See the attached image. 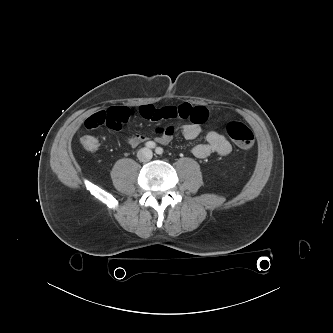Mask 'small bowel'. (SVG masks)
<instances>
[{"instance_id":"1","label":"small bowel","mask_w":333,"mask_h":333,"mask_svg":"<svg viewBox=\"0 0 333 333\" xmlns=\"http://www.w3.org/2000/svg\"><path fill=\"white\" fill-rule=\"evenodd\" d=\"M133 113L134 110L127 107H111L106 110L98 111L85 120L87 129H95L103 124L108 127L121 130L126 122L127 113ZM137 112L145 119L160 122L172 118H181L187 120V123L181 126L183 136L188 140L198 138L202 133L201 125L208 119L209 112L203 106H193L189 103H183L178 106H169L164 108H155L151 105L140 106ZM156 140L161 144H168L173 138L175 129L173 126L158 127L155 130ZM148 140L143 134H132L128 137L129 145L135 147ZM232 151V145L228 139L217 131L206 133L205 141L195 145L192 148V154L204 159L213 153L221 156L228 155Z\"/></svg>"}]
</instances>
